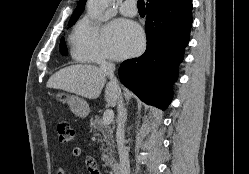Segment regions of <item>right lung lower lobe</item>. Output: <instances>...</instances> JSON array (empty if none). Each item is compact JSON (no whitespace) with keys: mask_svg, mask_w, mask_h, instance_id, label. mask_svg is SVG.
Masks as SVG:
<instances>
[{"mask_svg":"<svg viewBox=\"0 0 249 174\" xmlns=\"http://www.w3.org/2000/svg\"><path fill=\"white\" fill-rule=\"evenodd\" d=\"M191 25V0L147 8V48L142 56L121 64L119 78L123 85L147 104L166 109L178 65L189 42Z\"/></svg>","mask_w":249,"mask_h":174,"instance_id":"1","label":"right lung lower lobe"}]
</instances>
